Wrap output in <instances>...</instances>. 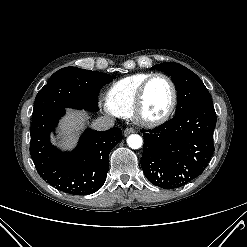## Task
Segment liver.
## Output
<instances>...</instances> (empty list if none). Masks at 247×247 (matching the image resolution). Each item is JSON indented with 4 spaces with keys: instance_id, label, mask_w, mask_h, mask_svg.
I'll return each instance as SVG.
<instances>
[{
    "instance_id": "obj_1",
    "label": "liver",
    "mask_w": 247,
    "mask_h": 247,
    "mask_svg": "<svg viewBox=\"0 0 247 247\" xmlns=\"http://www.w3.org/2000/svg\"><path fill=\"white\" fill-rule=\"evenodd\" d=\"M86 118L87 114L84 111L68 110L67 115L59 124V135L63 148H73L77 134L83 128Z\"/></svg>"
}]
</instances>
